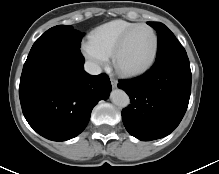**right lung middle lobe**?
<instances>
[{
  "instance_id": "1",
  "label": "right lung middle lobe",
  "mask_w": 219,
  "mask_h": 174,
  "mask_svg": "<svg viewBox=\"0 0 219 174\" xmlns=\"http://www.w3.org/2000/svg\"><path fill=\"white\" fill-rule=\"evenodd\" d=\"M83 35L69 25H58L50 28L35 41L25 64L55 49L79 50Z\"/></svg>"
}]
</instances>
